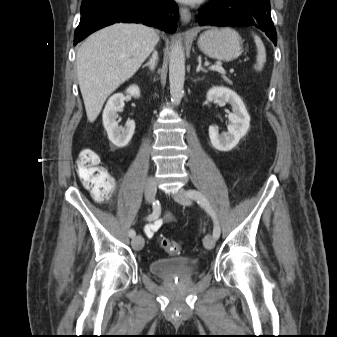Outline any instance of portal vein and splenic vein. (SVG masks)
Instances as JSON below:
<instances>
[{
    "mask_svg": "<svg viewBox=\"0 0 337 337\" xmlns=\"http://www.w3.org/2000/svg\"><path fill=\"white\" fill-rule=\"evenodd\" d=\"M210 69L214 70V71H217L219 73H222V74L226 73L225 70H224V68L221 67V66H218V65H213V66L210 67Z\"/></svg>",
    "mask_w": 337,
    "mask_h": 337,
    "instance_id": "1",
    "label": "portal vein and splenic vein"
}]
</instances>
